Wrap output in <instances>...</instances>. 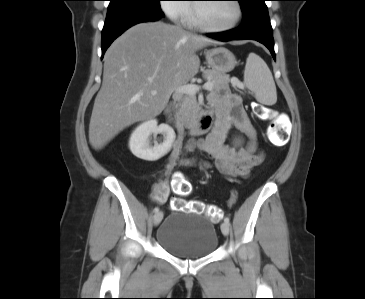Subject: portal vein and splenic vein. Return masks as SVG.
Masks as SVG:
<instances>
[{
  "instance_id": "1",
  "label": "portal vein and splenic vein",
  "mask_w": 365,
  "mask_h": 299,
  "mask_svg": "<svg viewBox=\"0 0 365 299\" xmlns=\"http://www.w3.org/2000/svg\"><path fill=\"white\" fill-rule=\"evenodd\" d=\"M203 88L205 90H212L213 89V83H211L209 81V82H207L203 85ZM199 89H200V87L196 84H187V85L180 86L177 91L179 93H185V94H188V95H195L199 91ZM151 94L156 95L157 92L152 91Z\"/></svg>"
}]
</instances>
